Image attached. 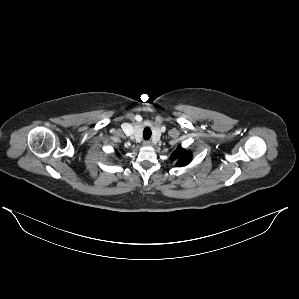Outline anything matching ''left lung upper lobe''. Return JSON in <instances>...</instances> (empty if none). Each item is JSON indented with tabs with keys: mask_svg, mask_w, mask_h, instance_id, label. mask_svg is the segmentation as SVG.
Here are the masks:
<instances>
[{
	"mask_svg": "<svg viewBox=\"0 0 299 299\" xmlns=\"http://www.w3.org/2000/svg\"><path fill=\"white\" fill-rule=\"evenodd\" d=\"M192 159V154L189 151H186L179 145L176 150L171 155V160H177L178 166H185L187 165Z\"/></svg>",
	"mask_w": 299,
	"mask_h": 299,
	"instance_id": "obj_1",
	"label": "left lung upper lobe"
}]
</instances>
